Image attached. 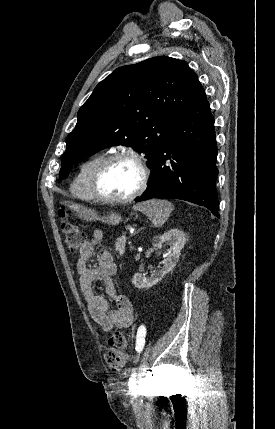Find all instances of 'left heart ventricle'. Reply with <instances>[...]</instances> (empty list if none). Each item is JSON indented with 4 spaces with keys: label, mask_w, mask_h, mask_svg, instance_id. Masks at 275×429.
Segmentation results:
<instances>
[{
    "label": "left heart ventricle",
    "mask_w": 275,
    "mask_h": 429,
    "mask_svg": "<svg viewBox=\"0 0 275 429\" xmlns=\"http://www.w3.org/2000/svg\"><path fill=\"white\" fill-rule=\"evenodd\" d=\"M140 181V170L130 160H119L112 163L103 174L100 187L109 197H125L131 194Z\"/></svg>",
    "instance_id": "left-heart-ventricle-1"
}]
</instances>
